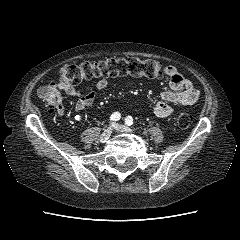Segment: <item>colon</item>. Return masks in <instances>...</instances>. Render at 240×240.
Listing matches in <instances>:
<instances>
[{
    "label": "colon",
    "instance_id": "1",
    "mask_svg": "<svg viewBox=\"0 0 240 240\" xmlns=\"http://www.w3.org/2000/svg\"><path fill=\"white\" fill-rule=\"evenodd\" d=\"M162 64L154 59L109 57L99 61H87L80 64L66 65L60 68L59 82L74 86L84 80L119 76H139L150 79L163 77ZM39 96L45 102L50 112H58L62 107L61 96L55 82L39 89ZM192 117L185 112L175 116V124L181 129L190 126Z\"/></svg>",
    "mask_w": 240,
    "mask_h": 240
}]
</instances>
